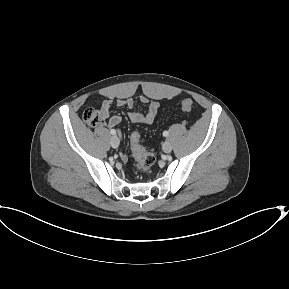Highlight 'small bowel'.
<instances>
[{
    "label": "small bowel",
    "mask_w": 289,
    "mask_h": 289,
    "mask_svg": "<svg viewBox=\"0 0 289 289\" xmlns=\"http://www.w3.org/2000/svg\"><path fill=\"white\" fill-rule=\"evenodd\" d=\"M141 102L147 106V111L145 113L136 111L134 109V102L132 99H119L113 101L111 99H107L103 101L101 105V110L105 113L106 117L109 115L110 109L113 105L118 107H126L129 109V118L132 122L138 124H151L159 111L160 104L157 101H151L146 97L141 98ZM105 117V118H106ZM121 122V117L119 115H111L108 119L109 127H116ZM121 159L123 161L127 160V156L121 154Z\"/></svg>",
    "instance_id": "small-bowel-1"
}]
</instances>
